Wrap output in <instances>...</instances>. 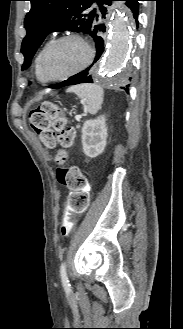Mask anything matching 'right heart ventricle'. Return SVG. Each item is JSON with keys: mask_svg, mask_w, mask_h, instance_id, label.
<instances>
[{"mask_svg": "<svg viewBox=\"0 0 183 329\" xmlns=\"http://www.w3.org/2000/svg\"><path fill=\"white\" fill-rule=\"evenodd\" d=\"M48 43H45L40 49L39 51L37 52L36 54V57H35V60H34V70H35V75H36V78L39 82L41 83H45L46 81L44 80V78L42 77L41 75V72H40V59H41V55H42V52L43 50L45 49V47L47 46Z\"/></svg>", "mask_w": 183, "mask_h": 329, "instance_id": "1", "label": "right heart ventricle"}]
</instances>
